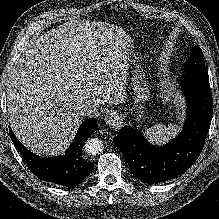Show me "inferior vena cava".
I'll return each instance as SVG.
<instances>
[{
    "label": "inferior vena cava",
    "mask_w": 219,
    "mask_h": 219,
    "mask_svg": "<svg viewBox=\"0 0 219 219\" xmlns=\"http://www.w3.org/2000/svg\"><path fill=\"white\" fill-rule=\"evenodd\" d=\"M77 111L81 117H89L96 112V110L93 108V106H91L89 104L78 105Z\"/></svg>",
    "instance_id": "obj_1"
}]
</instances>
